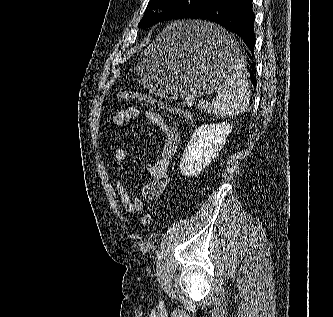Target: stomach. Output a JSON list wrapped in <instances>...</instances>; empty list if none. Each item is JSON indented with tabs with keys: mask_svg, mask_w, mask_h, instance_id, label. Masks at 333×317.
Listing matches in <instances>:
<instances>
[{
	"mask_svg": "<svg viewBox=\"0 0 333 317\" xmlns=\"http://www.w3.org/2000/svg\"><path fill=\"white\" fill-rule=\"evenodd\" d=\"M230 29L204 21L167 26L137 59L139 82L169 99L203 97L228 81V69L247 62Z\"/></svg>",
	"mask_w": 333,
	"mask_h": 317,
	"instance_id": "stomach-1",
	"label": "stomach"
}]
</instances>
